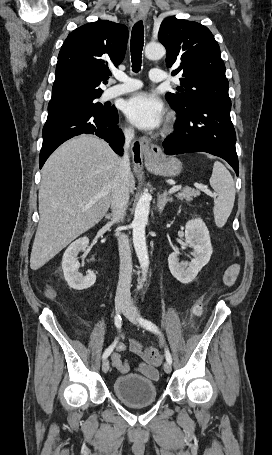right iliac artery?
Returning a JSON list of instances; mask_svg holds the SVG:
<instances>
[{
    "label": "right iliac artery",
    "mask_w": 272,
    "mask_h": 455,
    "mask_svg": "<svg viewBox=\"0 0 272 455\" xmlns=\"http://www.w3.org/2000/svg\"><path fill=\"white\" fill-rule=\"evenodd\" d=\"M115 326L120 329L122 326V318L119 314L115 316ZM117 339L114 340V342L104 351L103 353V359L107 358L112 351L114 350V347L116 346Z\"/></svg>",
    "instance_id": "1"
}]
</instances>
